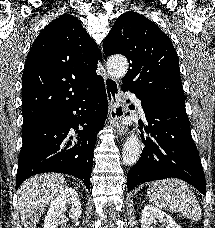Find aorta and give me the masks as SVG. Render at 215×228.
<instances>
[{
	"mask_svg": "<svg viewBox=\"0 0 215 228\" xmlns=\"http://www.w3.org/2000/svg\"><path fill=\"white\" fill-rule=\"evenodd\" d=\"M107 68L110 76H114V78H122V76H125L128 72V60H126V58H119V56H116V58H111V60H109ZM140 154V138L132 132L124 144L122 160L125 166H134V164L138 162Z\"/></svg>",
	"mask_w": 215,
	"mask_h": 228,
	"instance_id": "aorta-1",
	"label": "aorta"
}]
</instances>
